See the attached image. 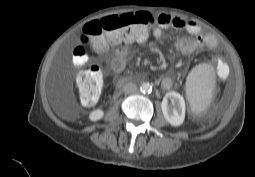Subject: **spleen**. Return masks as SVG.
I'll use <instances>...</instances> for the list:
<instances>
[{"label":"spleen","instance_id":"1","mask_svg":"<svg viewBox=\"0 0 255 177\" xmlns=\"http://www.w3.org/2000/svg\"><path fill=\"white\" fill-rule=\"evenodd\" d=\"M214 87V68L210 64H199L190 71L186 80V93L194 113L199 114L209 106Z\"/></svg>","mask_w":255,"mask_h":177}]
</instances>
